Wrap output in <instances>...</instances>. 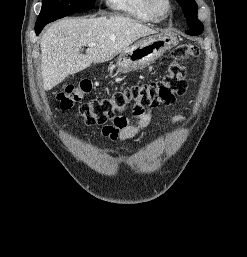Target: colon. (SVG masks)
Returning a JSON list of instances; mask_svg holds the SVG:
<instances>
[{"label": "colon", "mask_w": 247, "mask_h": 257, "mask_svg": "<svg viewBox=\"0 0 247 257\" xmlns=\"http://www.w3.org/2000/svg\"><path fill=\"white\" fill-rule=\"evenodd\" d=\"M199 55V48L191 43H182L172 52L171 60L166 66L164 76L156 81L135 84L128 88L92 99L83 103L78 115L89 126L105 125L112 121L119 125L126 124L122 115L130 106L141 108L156 107L171 101L176 95H182L187 89L185 78V61H192ZM92 85L88 80H81L66 87L57 94L62 110H69L80 103L91 92Z\"/></svg>", "instance_id": "1"}]
</instances>
